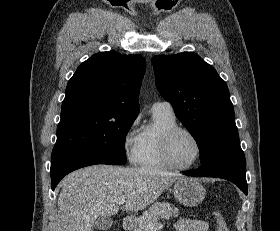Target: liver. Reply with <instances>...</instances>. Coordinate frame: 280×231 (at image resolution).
<instances>
[{"instance_id": "obj_1", "label": "liver", "mask_w": 280, "mask_h": 231, "mask_svg": "<svg viewBox=\"0 0 280 231\" xmlns=\"http://www.w3.org/2000/svg\"><path fill=\"white\" fill-rule=\"evenodd\" d=\"M178 177L179 173L120 165H89L72 171L60 183L54 231H93L99 215H116L122 197V211L137 213L158 199Z\"/></svg>"}]
</instances>
